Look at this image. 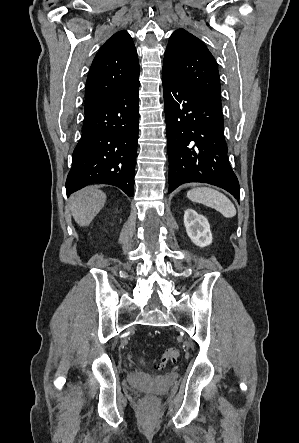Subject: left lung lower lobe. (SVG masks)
I'll return each mask as SVG.
<instances>
[{
  "label": "left lung lower lobe",
  "instance_id": "obj_1",
  "mask_svg": "<svg viewBox=\"0 0 299 443\" xmlns=\"http://www.w3.org/2000/svg\"><path fill=\"white\" fill-rule=\"evenodd\" d=\"M169 192L186 182L221 187L237 200L239 183L228 158L222 106L163 70Z\"/></svg>",
  "mask_w": 299,
  "mask_h": 443
}]
</instances>
